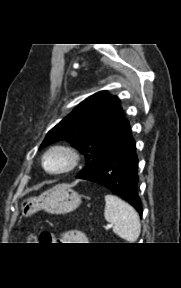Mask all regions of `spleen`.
I'll list each match as a JSON object with an SVG mask.
<instances>
[{
  "label": "spleen",
  "instance_id": "3e777b00",
  "mask_svg": "<svg viewBox=\"0 0 181 288\" xmlns=\"http://www.w3.org/2000/svg\"><path fill=\"white\" fill-rule=\"evenodd\" d=\"M105 219L112 223L113 231L126 241L133 243L140 235V220L132 206L114 195L105 196Z\"/></svg>",
  "mask_w": 181,
  "mask_h": 288
}]
</instances>
